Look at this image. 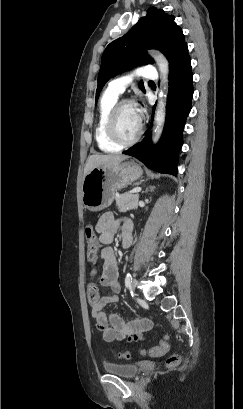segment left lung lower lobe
Returning <instances> with one entry per match:
<instances>
[{
    "instance_id": "1",
    "label": "left lung lower lobe",
    "mask_w": 243,
    "mask_h": 409,
    "mask_svg": "<svg viewBox=\"0 0 243 409\" xmlns=\"http://www.w3.org/2000/svg\"><path fill=\"white\" fill-rule=\"evenodd\" d=\"M169 73L166 121L159 143L152 146L151 131L148 130L141 142L123 153L136 157L150 169L176 175V159L182 146V133L193 96V74L186 43L171 60ZM168 159L171 161L168 162Z\"/></svg>"
}]
</instances>
